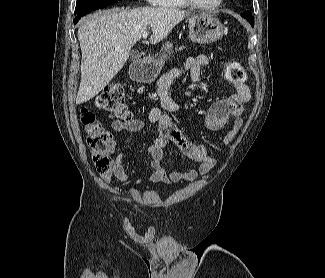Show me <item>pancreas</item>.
Returning a JSON list of instances; mask_svg holds the SVG:
<instances>
[{
	"instance_id": "cf45deb5",
	"label": "pancreas",
	"mask_w": 325,
	"mask_h": 278,
	"mask_svg": "<svg viewBox=\"0 0 325 278\" xmlns=\"http://www.w3.org/2000/svg\"><path fill=\"white\" fill-rule=\"evenodd\" d=\"M184 49V46H180L179 48H176V51H182Z\"/></svg>"
}]
</instances>
